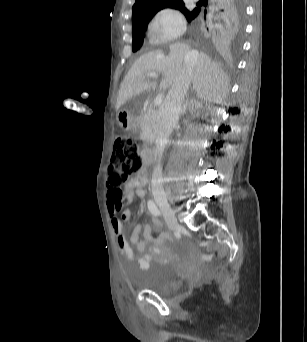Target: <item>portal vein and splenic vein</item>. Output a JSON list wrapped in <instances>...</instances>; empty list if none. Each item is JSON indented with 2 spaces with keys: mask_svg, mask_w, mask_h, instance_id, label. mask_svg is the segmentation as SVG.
<instances>
[{
  "mask_svg": "<svg viewBox=\"0 0 307 342\" xmlns=\"http://www.w3.org/2000/svg\"><path fill=\"white\" fill-rule=\"evenodd\" d=\"M148 78H158V74H147ZM164 100L163 94H156L155 98H153L152 103L153 105H161L162 101Z\"/></svg>",
  "mask_w": 307,
  "mask_h": 342,
  "instance_id": "portal-vein-and-splenic-vein-1",
  "label": "portal vein and splenic vein"
}]
</instances>
